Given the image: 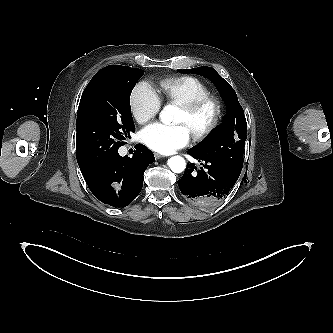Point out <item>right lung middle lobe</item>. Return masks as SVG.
Segmentation results:
<instances>
[{
    "label": "right lung middle lobe",
    "instance_id": "1",
    "mask_svg": "<svg viewBox=\"0 0 333 333\" xmlns=\"http://www.w3.org/2000/svg\"><path fill=\"white\" fill-rule=\"evenodd\" d=\"M144 71L110 65L85 88L77 113L76 157L81 170L118 152L135 131L130 94Z\"/></svg>",
    "mask_w": 333,
    "mask_h": 333
}]
</instances>
